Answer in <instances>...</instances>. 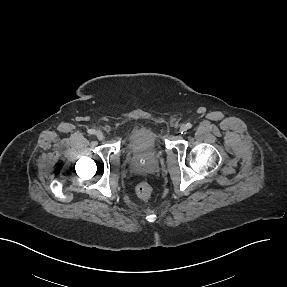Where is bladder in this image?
<instances>
[{"label": "bladder", "instance_id": "bladder-1", "mask_svg": "<svg viewBox=\"0 0 287 287\" xmlns=\"http://www.w3.org/2000/svg\"><path fill=\"white\" fill-rule=\"evenodd\" d=\"M161 145L162 139L154 128L140 125L126 135L123 150L127 155L151 156L157 153Z\"/></svg>", "mask_w": 287, "mask_h": 287}]
</instances>
